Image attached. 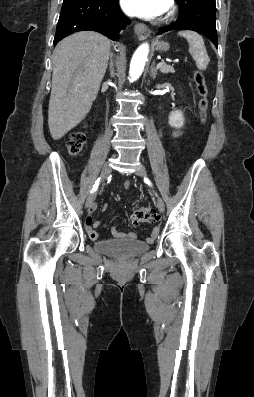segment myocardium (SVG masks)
Here are the masks:
<instances>
[{
	"label": "myocardium",
	"instance_id": "obj_1",
	"mask_svg": "<svg viewBox=\"0 0 254 397\" xmlns=\"http://www.w3.org/2000/svg\"><path fill=\"white\" fill-rule=\"evenodd\" d=\"M173 15H174V12L170 11V13L167 16V20L171 19L173 17Z\"/></svg>",
	"mask_w": 254,
	"mask_h": 397
}]
</instances>
